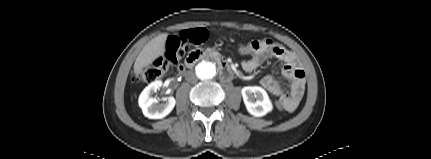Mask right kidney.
<instances>
[{"label": "right kidney", "mask_w": 431, "mask_h": 159, "mask_svg": "<svg viewBox=\"0 0 431 159\" xmlns=\"http://www.w3.org/2000/svg\"><path fill=\"white\" fill-rule=\"evenodd\" d=\"M161 87V81H154L140 94L138 103L145 117L150 119H162L173 110L176 104L174 97H168L164 103H159V99L151 97V95L157 92Z\"/></svg>", "instance_id": "right-kidney-1"}]
</instances>
